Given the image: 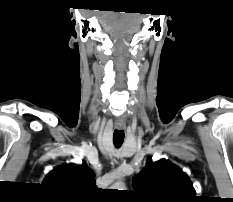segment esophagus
I'll return each instance as SVG.
<instances>
[{"mask_svg":"<svg viewBox=\"0 0 233 202\" xmlns=\"http://www.w3.org/2000/svg\"><path fill=\"white\" fill-rule=\"evenodd\" d=\"M125 127V124H116L117 129H123Z\"/></svg>","mask_w":233,"mask_h":202,"instance_id":"esophagus-1","label":"esophagus"}]
</instances>
